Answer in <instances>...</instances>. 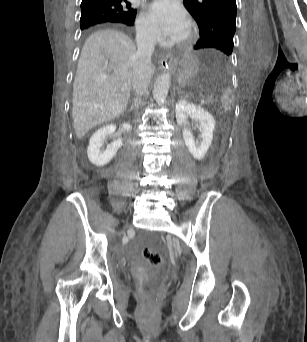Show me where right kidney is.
Listing matches in <instances>:
<instances>
[{
  "label": "right kidney",
  "instance_id": "obj_1",
  "mask_svg": "<svg viewBox=\"0 0 307 342\" xmlns=\"http://www.w3.org/2000/svg\"><path fill=\"white\" fill-rule=\"evenodd\" d=\"M121 128L122 130H125V132H129L132 126L131 124H122ZM115 130L116 126H114V124H109V126L100 128V130H97V132L91 136L88 144L87 156L89 158V162H91L93 166H98V168L107 166V164L111 162L112 158H114L119 148L123 146V138H118V140L109 144L106 150H101L102 146H104L105 138L110 136V134H114Z\"/></svg>",
  "mask_w": 307,
  "mask_h": 342
}]
</instances>
